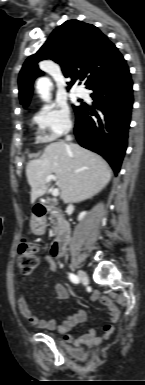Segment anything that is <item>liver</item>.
Wrapping results in <instances>:
<instances>
[{"label":"liver","mask_w":145,"mask_h":385,"mask_svg":"<svg viewBox=\"0 0 145 385\" xmlns=\"http://www.w3.org/2000/svg\"><path fill=\"white\" fill-rule=\"evenodd\" d=\"M53 174L64 203H79L92 198L112 177L108 163L98 154L78 144L53 142L46 146L39 158L27 163L31 203L47 192L50 181L46 177Z\"/></svg>","instance_id":"obj_1"}]
</instances>
